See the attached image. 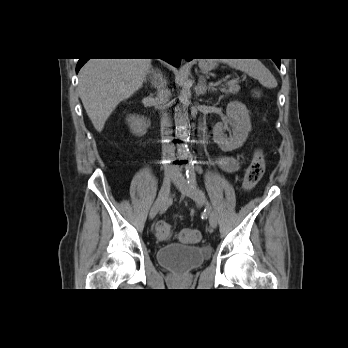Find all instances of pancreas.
<instances>
[{"label": "pancreas", "instance_id": "cf45deb5", "mask_svg": "<svg viewBox=\"0 0 348 348\" xmlns=\"http://www.w3.org/2000/svg\"><path fill=\"white\" fill-rule=\"evenodd\" d=\"M240 90V86L238 85V82L228 84L226 87L220 88V91L225 94H236Z\"/></svg>", "mask_w": 348, "mask_h": 348}]
</instances>
